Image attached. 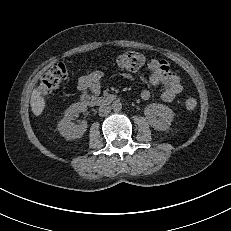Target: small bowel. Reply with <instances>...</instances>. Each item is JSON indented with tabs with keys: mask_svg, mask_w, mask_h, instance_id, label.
<instances>
[{
	"mask_svg": "<svg viewBox=\"0 0 231 231\" xmlns=\"http://www.w3.org/2000/svg\"><path fill=\"white\" fill-rule=\"evenodd\" d=\"M151 71L149 82L152 86H162L160 91L161 99L166 103L176 100L183 92V85L180 76L172 71L170 65L164 60L151 59L147 63ZM103 73L99 70L92 71L78 81V88L81 91H89L95 95L99 94L101 89V79ZM151 97V91L144 89L141 92V98L148 100Z\"/></svg>",
	"mask_w": 231,
	"mask_h": 231,
	"instance_id": "small-bowel-1",
	"label": "small bowel"
}]
</instances>
